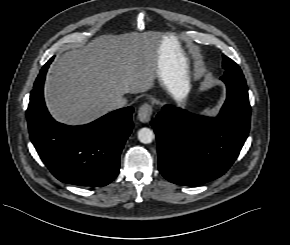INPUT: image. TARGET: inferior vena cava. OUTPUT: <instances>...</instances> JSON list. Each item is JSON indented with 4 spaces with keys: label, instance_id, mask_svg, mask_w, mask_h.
Returning a JSON list of instances; mask_svg holds the SVG:
<instances>
[{
    "label": "inferior vena cava",
    "instance_id": "1",
    "mask_svg": "<svg viewBox=\"0 0 290 245\" xmlns=\"http://www.w3.org/2000/svg\"><path fill=\"white\" fill-rule=\"evenodd\" d=\"M112 105L114 109H117L125 107L127 105V102L123 97H118L113 101Z\"/></svg>",
    "mask_w": 290,
    "mask_h": 245
}]
</instances>
